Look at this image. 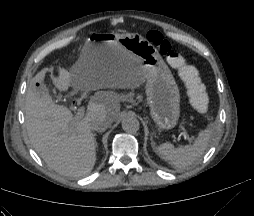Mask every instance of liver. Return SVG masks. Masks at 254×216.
Masks as SVG:
<instances>
[{"instance_id":"6515ba94","label":"liver","mask_w":254,"mask_h":216,"mask_svg":"<svg viewBox=\"0 0 254 216\" xmlns=\"http://www.w3.org/2000/svg\"><path fill=\"white\" fill-rule=\"evenodd\" d=\"M84 46L78 62L71 71L58 68V76L51 75L60 91L73 86L78 90L102 88L136 89L145 82L141 69L126 54H118L105 65L91 67L86 63ZM53 67H46L33 78L26 95L25 122L31 144L38 155L53 170L64 176L88 175L96 162L94 135L90 121L105 117L110 123L120 116L122 96L113 91H98L91 97L87 112L75 118L65 106L55 104L49 95H40L35 83L42 82Z\"/></svg>"}]
</instances>
